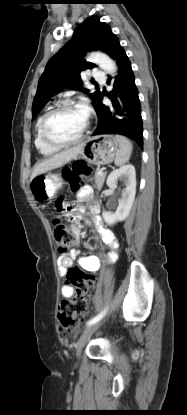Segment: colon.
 <instances>
[{
	"label": "colon",
	"mask_w": 187,
	"mask_h": 415,
	"mask_svg": "<svg viewBox=\"0 0 187 415\" xmlns=\"http://www.w3.org/2000/svg\"><path fill=\"white\" fill-rule=\"evenodd\" d=\"M89 174L90 168L86 164H76L64 171V176L73 191L80 188V176ZM58 207L60 210H69L67 201L64 199L58 202ZM53 233L58 253L65 255L75 241L74 233L58 218L53 219ZM66 278L74 286L76 294L74 297L63 299L60 303L58 319L62 333L77 331L84 322L89 310L90 289L96 281L94 275L77 268L69 270Z\"/></svg>",
	"instance_id": "1"
}]
</instances>
